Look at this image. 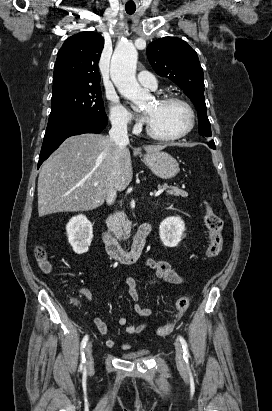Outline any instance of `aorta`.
<instances>
[{"mask_svg":"<svg viewBox=\"0 0 272 411\" xmlns=\"http://www.w3.org/2000/svg\"><path fill=\"white\" fill-rule=\"evenodd\" d=\"M137 58L138 53L132 43L119 45L111 59L110 75L123 97L137 106H142L147 99V94L135 77Z\"/></svg>","mask_w":272,"mask_h":411,"instance_id":"762f6f07","label":"aorta"}]
</instances>
